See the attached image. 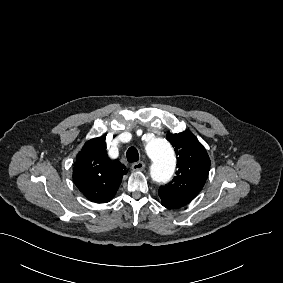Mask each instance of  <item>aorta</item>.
<instances>
[{
  "label": "aorta",
  "instance_id": "obj_1",
  "mask_svg": "<svg viewBox=\"0 0 283 283\" xmlns=\"http://www.w3.org/2000/svg\"><path fill=\"white\" fill-rule=\"evenodd\" d=\"M146 152L152 161L153 180L159 183L169 181L176 165L174 150L170 143L166 139L152 138L146 145Z\"/></svg>",
  "mask_w": 283,
  "mask_h": 283
}]
</instances>
